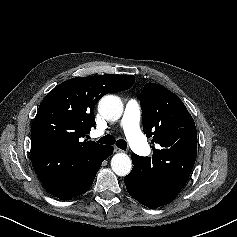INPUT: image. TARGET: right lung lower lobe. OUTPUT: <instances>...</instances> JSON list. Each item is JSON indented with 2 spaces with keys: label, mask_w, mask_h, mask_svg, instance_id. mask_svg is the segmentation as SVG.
<instances>
[{
  "label": "right lung lower lobe",
  "mask_w": 237,
  "mask_h": 237,
  "mask_svg": "<svg viewBox=\"0 0 237 237\" xmlns=\"http://www.w3.org/2000/svg\"><path fill=\"white\" fill-rule=\"evenodd\" d=\"M113 153L112 146H106L99 154L89 157L79 164L78 173L80 176V183L75 190L72 191H49L53 196L69 200L73 197L79 196L91 187L94 178L101 166V163Z\"/></svg>",
  "instance_id": "98d812e1"
}]
</instances>
